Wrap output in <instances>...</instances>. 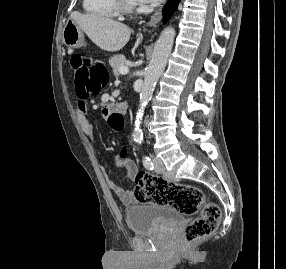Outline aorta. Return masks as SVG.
I'll return each mask as SVG.
<instances>
[{"mask_svg":"<svg viewBox=\"0 0 286 269\" xmlns=\"http://www.w3.org/2000/svg\"><path fill=\"white\" fill-rule=\"evenodd\" d=\"M175 29L173 27L165 28L155 43L151 61L145 72L144 83L140 93V103L136 114L135 128L133 139L136 143L141 144L143 132L140 129L144 109L152 98L154 87L161 73L163 72L168 57L171 53L175 38Z\"/></svg>","mask_w":286,"mask_h":269,"instance_id":"obj_1","label":"aorta"}]
</instances>
